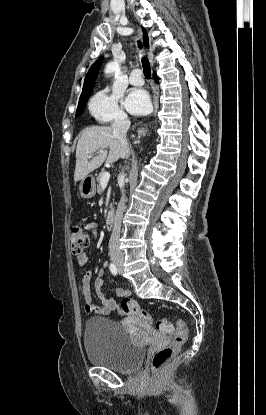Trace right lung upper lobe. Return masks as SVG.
Segmentation results:
<instances>
[{"instance_id":"cb5924a9","label":"right lung upper lobe","mask_w":266,"mask_h":415,"mask_svg":"<svg viewBox=\"0 0 266 415\" xmlns=\"http://www.w3.org/2000/svg\"><path fill=\"white\" fill-rule=\"evenodd\" d=\"M142 30H143V33H144V36H143L144 44H145V46L149 47V39H148L147 32L144 28H142ZM102 61H103V58L100 57L95 63L92 64L91 68L89 69L88 73L86 74L81 96H84V95L92 92V89L94 87L95 80L98 76Z\"/></svg>"}]
</instances>
